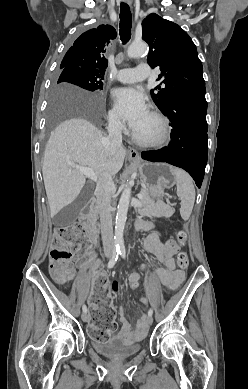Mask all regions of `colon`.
<instances>
[{"label": "colon", "instance_id": "obj_1", "mask_svg": "<svg viewBox=\"0 0 248 389\" xmlns=\"http://www.w3.org/2000/svg\"><path fill=\"white\" fill-rule=\"evenodd\" d=\"M177 239L180 244H184L187 240V234L181 231L178 233ZM87 250L88 243L79 225L62 226L54 230L49 255V271L56 282L65 284L68 281L73 273L71 261H82ZM177 263L182 270L188 267L189 256L187 252L178 253ZM110 278V273H99L93 283L95 291L91 298L93 305L88 307L89 312H93V320L90 326L84 327V332L90 333L95 338L96 344H107L110 338L107 332L114 331L117 326L115 322L116 312L111 305V290L103 289ZM139 283L140 278L133 277L128 286L131 291H138ZM142 299L146 300L147 296L143 295Z\"/></svg>", "mask_w": 248, "mask_h": 389}]
</instances>
